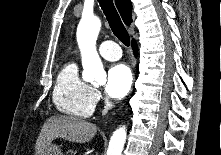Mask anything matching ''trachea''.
<instances>
[{"label": "trachea", "mask_w": 221, "mask_h": 155, "mask_svg": "<svg viewBox=\"0 0 221 155\" xmlns=\"http://www.w3.org/2000/svg\"><path fill=\"white\" fill-rule=\"evenodd\" d=\"M114 35L126 46L130 45L129 34L112 0H98Z\"/></svg>", "instance_id": "1"}]
</instances>
